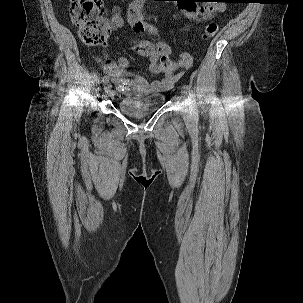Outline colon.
I'll return each instance as SVG.
<instances>
[{
    "mask_svg": "<svg viewBox=\"0 0 303 303\" xmlns=\"http://www.w3.org/2000/svg\"><path fill=\"white\" fill-rule=\"evenodd\" d=\"M101 0H70V13L73 24L77 27L80 39L89 47L102 45L110 31L108 25L102 18ZM218 25L210 22L205 27V37L212 38L217 34ZM192 55L182 53L176 66L181 70L188 68L192 63ZM160 64L164 67H174L169 53L160 57Z\"/></svg>",
    "mask_w": 303,
    "mask_h": 303,
    "instance_id": "obj_1",
    "label": "colon"
}]
</instances>
